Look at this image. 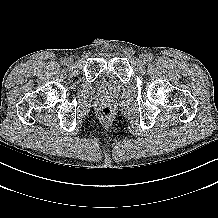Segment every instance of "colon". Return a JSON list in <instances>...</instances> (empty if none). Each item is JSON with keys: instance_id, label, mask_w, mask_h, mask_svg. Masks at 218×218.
I'll use <instances>...</instances> for the list:
<instances>
[{"instance_id": "5ec220e1", "label": "colon", "mask_w": 218, "mask_h": 218, "mask_svg": "<svg viewBox=\"0 0 218 218\" xmlns=\"http://www.w3.org/2000/svg\"><path fill=\"white\" fill-rule=\"evenodd\" d=\"M99 115L102 119L108 120L111 117V110L107 107H103L100 109Z\"/></svg>"}]
</instances>
